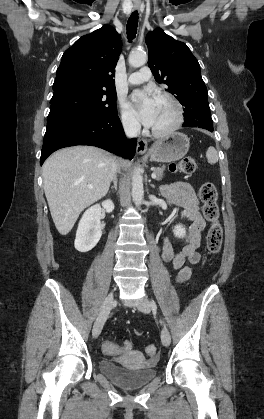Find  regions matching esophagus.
<instances>
[{
    "instance_id": "obj_1",
    "label": "esophagus",
    "mask_w": 264,
    "mask_h": 419,
    "mask_svg": "<svg viewBox=\"0 0 264 419\" xmlns=\"http://www.w3.org/2000/svg\"><path fill=\"white\" fill-rule=\"evenodd\" d=\"M134 10H138L139 9V5L135 4L133 7ZM148 149V144L147 141L144 139H139L137 142V148H136V152L138 154H144L147 152Z\"/></svg>"
}]
</instances>
